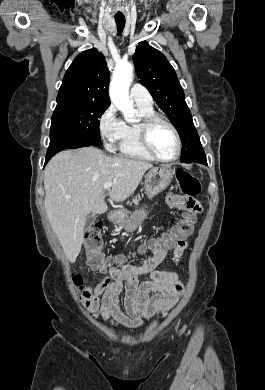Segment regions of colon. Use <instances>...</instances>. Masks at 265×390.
I'll use <instances>...</instances> for the list:
<instances>
[{"instance_id":"colon-1","label":"colon","mask_w":265,"mask_h":390,"mask_svg":"<svg viewBox=\"0 0 265 390\" xmlns=\"http://www.w3.org/2000/svg\"><path fill=\"white\" fill-rule=\"evenodd\" d=\"M177 181L182 193L189 197L197 196L201 191V185L198 178L185 170H179L176 174ZM196 220L195 213H185L177 224L176 239L186 238L193 230V225ZM102 225L95 223L86 234L85 247L89 265L93 269H100L106 271L108 267V260L102 252ZM73 281L77 287L82 288V278L80 275H75ZM88 294L84 292L81 295L83 301L88 300Z\"/></svg>"}]
</instances>
